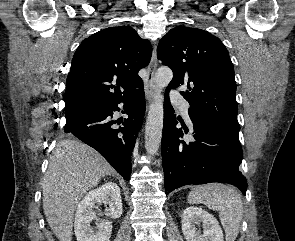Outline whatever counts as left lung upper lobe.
Wrapping results in <instances>:
<instances>
[{"instance_id":"1","label":"left lung upper lobe","mask_w":295,"mask_h":241,"mask_svg":"<svg viewBox=\"0 0 295 241\" xmlns=\"http://www.w3.org/2000/svg\"><path fill=\"white\" fill-rule=\"evenodd\" d=\"M157 57L173 71L167 91L181 85L192 120L238 133L234 67L226 47L211 33L188 27L171 29L159 42Z\"/></svg>"}]
</instances>
